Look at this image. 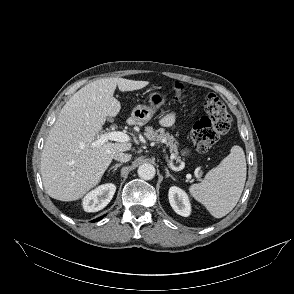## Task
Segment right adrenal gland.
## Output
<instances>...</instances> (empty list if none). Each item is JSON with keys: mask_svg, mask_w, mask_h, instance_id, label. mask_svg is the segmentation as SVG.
I'll use <instances>...</instances> for the list:
<instances>
[{"mask_svg": "<svg viewBox=\"0 0 294 294\" xmlns=\"http://www.w3.org/2000/svg\"><path fill=\"white\" fill-rule=\"evenodd\" d=\"M122 166V163H119V164H115L114 166H111L110 169H109V172L111 170H113V172H115L117 170L118 167Z\"/></svg>", "mask_w": 294, "mask_h": 294, "instance_id": "right-adrenal-gland-1", "label": "right adrenal gland"}]
</instances>
